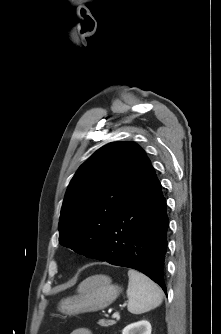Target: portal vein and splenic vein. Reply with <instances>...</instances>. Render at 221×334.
Wrapping results in <instances>:
<instances>
[{
  "label": "portal vein and splenic vein",
  "mask_w": 221,
  "mask_h": 334,
  "mask_svg": "<svg viewBox=\"0 0 221 334\" xmlns=\"http://www.w3.org/2000/svg\"><path fill=\"white\" fill-rule=\"evenodd\" d=\"M116 317H118V314H117V313H114V314L112 315V318H116Z\"/></svg>",
  "instance_id": "18ae733b"
}]
</instances>
